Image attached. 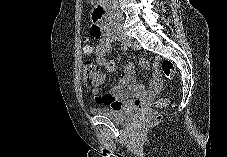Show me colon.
Returning a JSON list of instances; mask_svg holds the SVG:
<instances>
[{"instance_id": "1", "label": "colon", "mask_w": 227, "mask_h": 157, "mask_svg": "<svg viewBox=\"0 0 227 157\" xmlns=\"http://www.w3.org/2000/svg\"><path fill=\"white\" fill-rule=\"evenodd\" d=\"M92 16H97L95 13V10L93 11ZM92 34L95 38H98L101 32H92ZM161 69L163 74L169 79L172 78L175 74V66L173 62L170 60L162 61ZM83 74H84L85 84L91 86L95 83V80L99 75V67L91 61H86L83 66ZM168 104H169L168 98H160L156 101V106L158 108H164ZM160 119H161V116L158 115L156 117V120H160Z\"/></svg>"}]
</instances>
